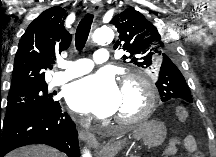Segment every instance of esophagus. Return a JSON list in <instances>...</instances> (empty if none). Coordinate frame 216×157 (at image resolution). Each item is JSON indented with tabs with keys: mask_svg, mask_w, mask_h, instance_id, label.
Instances as JSON below:
<instances>
[{
	"mask_svg": "<svg viewBox=\"0 0 216 157\" xmlns=\"http://www.w3.org/2000/svg\"><path fill=\"white\" fill-rule=\"evenodd\" d=\"M103 10V4L101 2L93 4L88 12L94 13V14H99ZM79 136L83 140H85L91 147L93 148H99V143L96 139V137L90 133V132H85V131H79Z\"/></svg>",
	"mask_w": 216,
	"mask_h": 157,
	"instance_id": "1",
	"label": "esophagus"
}]
</instances>
